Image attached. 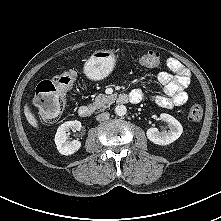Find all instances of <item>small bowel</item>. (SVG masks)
I'll list each match as a JSON object with an SVG mask.
<instances>
[{
	"mask_svg": "<svg viewBox=\"0 0 221 221\" xmlns=\"http://www.w3.org/2000/svg\"><path fill=\"white\" fill-rule=\"evenodd\" d=\"M167 66L170 72H162L158 76L159 83L163 86L165 94L156 95L153 99L161 107L172 108L187 102L186 88L190 84V73L175 58H169ZM130 96L135 97L139 102L144 98L145 94L142 90L135 89L131 91Z\"/></svg>",
	"mask_w": 221,
	"mask_h": 221,
	"instance_id": "1",
	"label": "small bowel"
}]
</instances>
